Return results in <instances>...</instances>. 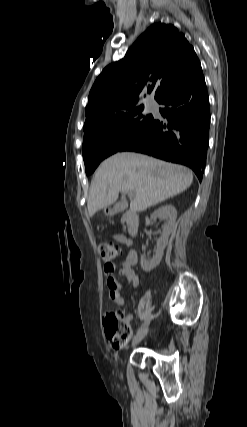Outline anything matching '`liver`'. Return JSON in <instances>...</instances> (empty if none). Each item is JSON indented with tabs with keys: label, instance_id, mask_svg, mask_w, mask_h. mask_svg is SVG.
I'll use <instances>...</instances> for the list:
<instances>
[{
	"label": "liver",
	"instance_id": "liver-1",
	"mask_svg": "<svg viewBox=\"0 0 247 427\" xmlns=\"http://www.w3.org/2000/svg\"><path fill=\"white\" fill-rule=\"evenodd\" d=\"M192 182L193 174L184 166L138 153H117L95 172L87 201L88 215L92 217L115 203L119 192L131 193V211L142 212L180 194Z\"/></svg>",
	"mask_w": 247,
	"mask_h": 427
}]
</instances>
